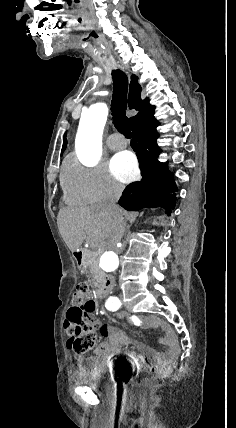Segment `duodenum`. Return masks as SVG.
Returning <instances> with one entry per match:
<instances>
[{"label": "duodenum", "instance_id": "1", "mask_svg": "<svg viewBox=\"0 0 236 428\" xmlns=\"http://www.w3.org/2000/svg\"><path fill=\"white\" fill-rule=\"evenodd\" d=\"M73 258L79 268L83 267L84 264V253L81 249H75L73 251ZM114 289L113 277L107 276L103 279L101 285L96 291V297L99 299H107L112 295Z\"/></svg>", "mask_w": 236, "mask_h": 428}]
</instances>
